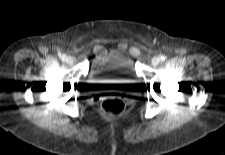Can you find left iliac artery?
Masks as SVG:
<instances>
[{
    "instance_id": "obj_1",
    "label": "left iliac artery",
    "mask_w": 225,
    "mask_h": 155,
    "mask_svg": "<svg viewBox=\"0 0 225 155\" xmlns=\"http://www.w3.org/2000/svg\"><path fill=\"white\" fill-rule=\"evenodd\" d=\"M160 60H161V61H165V60H166V57H165L164 55H161V56H160Z\"/></svg>"
}]
</instances>
